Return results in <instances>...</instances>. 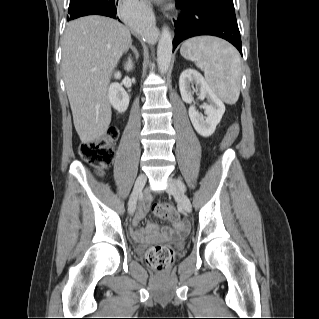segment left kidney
<instances>
[{"label":"left kidney","mask_w":319,"mask_h":319,"mask_svg":"<svg viewBox=\"0 0 319 319\" xmlns=\"http://www.w3.org/2000/svg\"><path fill=\"white\" fill-rule=\"evenodd\" d=\"M193 84L196 85V90L199 88L200 97H207L209 104L204 105L206 116L199 113L194 105L189 108V117L193 127L203 137L211 136L225 112V105L210 89L203 76L194 69L184 70L179 78V89L184 102L192 104L194 101L192 89Z\"/></svg>","instance_id":"left-kidney-1"}]
</instances>
